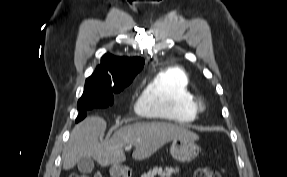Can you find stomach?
Returning a JSON list of instances; mask_svg holds the SVG:
<instances>
[{
    "instance_id": "stomach-1",
    "label": "stomach",
    "mask_w": 287,
    "mask_h": 177,
    "mask_svg": "<svg viewBox=\"0 0 287 177\" xmlns=\"http://www.w3.org/2000/svg\"><path fill=\"white\" fill-rule=\"evenodd\" d=\"M191 138H179L172 142L170 152L172 157L179 162H190L199 154V146ZM129 169L120 164H113L110 168L111 177H128Z\"/></svg>"
}]
</instances>
